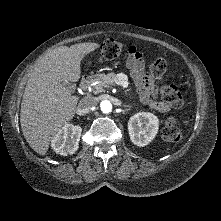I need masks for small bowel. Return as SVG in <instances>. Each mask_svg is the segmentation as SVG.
I'll use <instances>...</instances> for the list:
<instances>
[{"instance_id":"1","label":"small bowel","mask_w":221,"mask_h":221,"mask_svg":"<svg viewBox=\"0 0 221 221\" xmlns=\"http://www.w3.org/2000/svg\"><path fill=\"white\" fill-rule=\"evenodd\" d=\"M126 66L130 70L141 101L158 112H169L170 106L164 101L157 100V86L152 80L145 76L144 56L134 46L129 49Z\"/></svg>"}]
</instances>
